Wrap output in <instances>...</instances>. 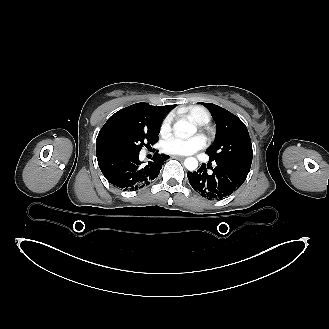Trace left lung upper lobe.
Returning <instances> with one entry per match:
<instances>
[{
    "label": "left lung upper lobe",
    "instance_id": "1",
    "mask_svg": "<svg viewBox=\"0 0 329 329\" xmlns=\"http://www.w3.org/2000/svg\"><path fill=\"white\" fill-rule=\"evenodd\" d=\"M217 122L214 144L206 152L210 161H221L250 171L253 150L245 124L234 114L212 103H203Z\"/></svg>",
    "mask_w": 329,
    "mask_h": 329
}]
</instances>
